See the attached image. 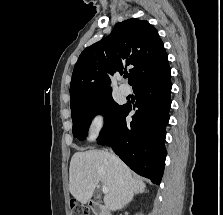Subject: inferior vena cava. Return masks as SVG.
Listing matches in <instances>:
<instances>
[{
  "mask_svg": "<svg viewBox=\"0 0 223 215\" xmlns=\"http://www.w3.org/2000/svg\"><path fill=\"white\" fill-rule=\"evenodd\" d=\"M112 157H116V155H112Z\"/></svg>",
  "mask_w": 223,
  "mask_h": 215,
  "instance_id": "obj_1",
  "label": "inferior vena cava"
}]
</instances>
